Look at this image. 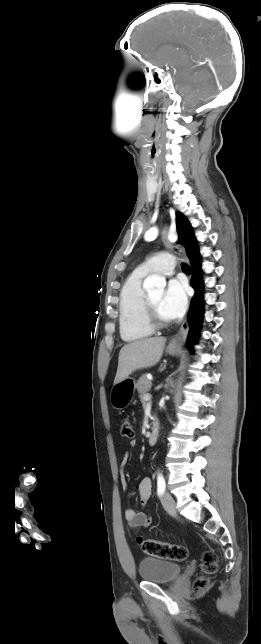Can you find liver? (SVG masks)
Returning <instances> with one entry per match:
<instances>
[{
    "instance_id": "obj_1",
    "label": "liver",
    "mask_w": 261,
    "mask_h": 644,
    "mask_svg": "<svg viewBox=\"0 0 261 644\" xmlns=\"http://www.w3.org/2000/svg\"><path fill=\"white\" fill-rule=\"evenodd\" d=\"M166 338H145L125 344L118 358L114 385L127 378L136 370L156 365L163 354Z\"/></svg>"
}]
</instances>
